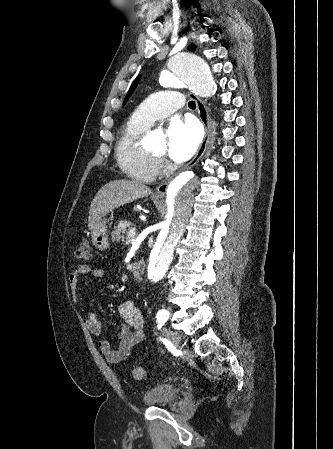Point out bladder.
<instances>
[{
  "mask_svg": "<svg viewBox=\"0 0 333 449\" xmlns=\"http://www.w3.org/2000/svg\"><path fill=\"white\" fill-rule=\"evenodd\" d=\"M179 393L170 384H159L149 389L143 396V402L152 406H169L175 403Z\"/></svg>",
  "mask_w": 333,
  "mask_h": 449,
  "instance_id": "31cf9c89",
  "label": "bladder"
}]
</instances>
